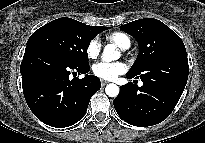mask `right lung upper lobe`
Here are the masks:
<instances>
[{"mask_svg":"<svg viewBox=\"0 0 205 143\" xmlns=\"http://www.w3.org/2000/svg\"><path fill=\"white\" fill-rule=\"evenodd\" d=\"M95 31H97L98 33L107 30L108 27H101V26H91Z\"/></svg>","mask_w":205,"mask_h":143,"instance_id":"obj_1","label":"right lung upper lobe"}]
</instances>
